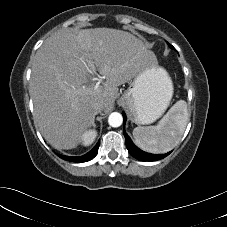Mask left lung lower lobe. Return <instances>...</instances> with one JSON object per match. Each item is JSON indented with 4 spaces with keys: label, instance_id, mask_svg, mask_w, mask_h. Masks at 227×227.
<instances>
[{
    "label": "left lung lower lobe",
    "instance_id": "1",
    "mask_svg": "<svg viewBox=\"0 0 227 227\" xmlns=\"http://www.w3.org/2000/svg\"><path fill=\"white\" fill-rule=\"evenodd\" d=\"M123 118H124V124L126 122V115L123 112L122 113ZM123 132H124V136H125V140H126V146L128 151L130 152V154L140 160V161H156V160H160L166 156H168L171 152L164 154V155H156V154H150V153H146L142 150H140L138 147L135 146V144L132 142V140L130 139V137L126 134L125 129L123 128Z\"/></svg>",
    "mask_w": 227,
    "mask_h": 227
}]
</instances>
